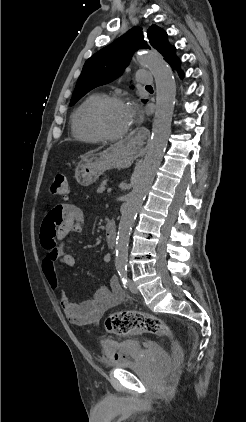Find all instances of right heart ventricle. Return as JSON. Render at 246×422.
Returning <instances> with one entry per match:
<instances>
[{"mask_svg":"<svg viewBox=\"0 0 246 422\" xmlns=\"http://www.w3.org/2000/svg\"><path fill=\"white\" fill-rule=\"evenodd\" d=\"M102 97L100 93L88 95L74 110L71 116L72 135L79 141L99 143L102 139L93 131L88 121V112L92 105Z\"/></svg>","mask_w":246,"mask_h":422,"instance_id":"1","label":"right heart ventricle"}]
</instances>
